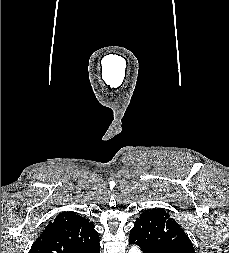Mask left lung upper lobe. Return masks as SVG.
I'll list each match as a JSON object with an SVG mask.
<instances>
[{"label":"left lung upper lobe","mask_w":229,"mask_h":253,"mask_svg":"<svg viewBox=\"0 0 229 253\" xmlns=\"http://www.w3.org/2000/svg\"><path fill=\"white\" fill-rule=\"evenodd\" d=\"M129 242L143 253H195L180 225L160 209L143 212L130 231Z\"/></svg>","instance_id":"5c2ea615"}]
</instances>
